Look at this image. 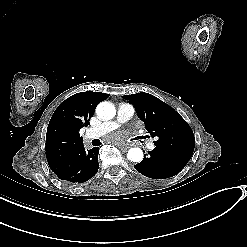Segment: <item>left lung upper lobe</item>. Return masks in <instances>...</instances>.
<instances>
[{
	"label": "left lung upper lobe",
	"mask_w": 247,
	"mask_h": 247,
	"mask_svg": "<svg viewBox=\"0 0 247 247\" xmlns=\"http://www.w3.org/2000/svg\"><path fill=\"white\" fill-rule=\"evenodd\" d=\"M122 98L135 106L146 130L156 138L154 144L157 148L192 157L195 146L193 131L171 106L145 92L125 95Z\"/></svg>",
	"instance_id": "5c2ea615"
}]
</instances>
